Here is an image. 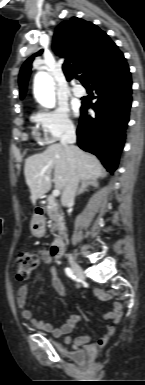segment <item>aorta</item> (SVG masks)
<instances>
[{
	"instance_id": "aorta-1",
	"label": "aorta",
	"mask_w": 145,
	"mask_h": 385,
	"mask_svg": "<svg viewBox=\"0 0 145 385\" xmlns=\"http://www.w3.org/2000/svg\"><path fill=\"white\" fill-rule=\"evenodd\" d=\"M34 97L43 107H55V83L53 78L44 71H39L34 78Z\"/></svg>"
}]
</instances>
